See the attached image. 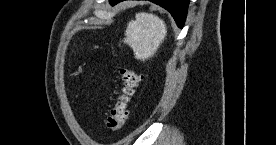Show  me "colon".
<instances>
[{
    "instance_id": "1",
    "label": "colon",
    "mask_w": 276,
    "mask_h": 145,
    "mask_svg": "<svg viewBox=\"0 0 276 145\" xmlns=\"http://www.w3.org/2000/svg\"><path fill=\"white\" fill-rule=\"evenodd\" d=\"M121 89L106 120V128L111 132L120 130L129 114V102L134 95L140 81V75L129 68L120 70Z\"/></svg>"
}]
</instances>
